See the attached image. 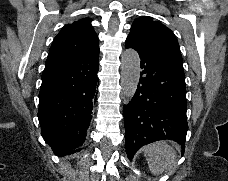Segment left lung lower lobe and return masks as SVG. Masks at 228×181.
Listing matches in <instances>:
<instances>
[{"label": "left lung lower lobe", "mask_w": 228, "mask_h": 181, "mask_svg": "<svg viewBox=\"0 0 228 181\" xmlns=\"http://www.w3.org/2000/svg\"><path fill=\"white\" fill-rule=\"evenodd\" d=\"M140 56L142 71L134 97L125 105V147L129 159L144 145L170 139L181 145L188 130L182 61L143 49L126 40Z\"/></svg>", "instance_id": "1"}]
</instances>
